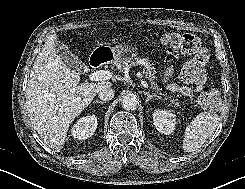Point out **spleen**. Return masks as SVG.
<instances>
[{
  "label": "spleen",
  "mask_w": 245,
  "mask_h": 189,
  "mask_svg": "<svg viewBox=\"0 0 245 189\" xmlns=\"http://www.w3.org/2000/svg\"><path fill=\"white\" fill-rule=\"evenodd\" d=\"M219 121V116L214 112L198 114L185 129L182 144L184 152H194L201 148L213 135Z\"/></svg>",
  "instance_id": "1"
}]
</instances>
